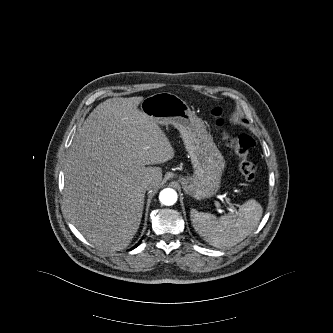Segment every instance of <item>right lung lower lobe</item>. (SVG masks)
I'll list each match as a JSON object with an SVG mask.
<instances>
[{
    "instance_id": "obj_1",
    "label": "right lung lower lobe",
    "mask_w": 333,
    "mask_h": 333,
    "mask_svg": "<svg viewBox=\"0 0 333 333\" xmlns=\"http://www.w3.org/2000/svg\"><path fill=\"white\" fill-rule=\"evenodd\" d=\"M141 242V241H140ZM140 242L138 243V244H136L132 249H134L135 247H137L139 244H140Z\"/></svg>"
}]
</instances>
